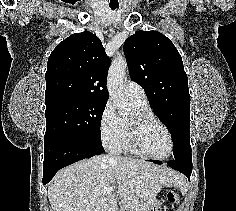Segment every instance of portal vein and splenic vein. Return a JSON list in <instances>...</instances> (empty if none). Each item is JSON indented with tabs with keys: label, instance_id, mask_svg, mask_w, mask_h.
Segmentation results:
<instances>
[{
	"label": "portal vein and splenic vein",
	"instance_id": "1",
	"mask_svg": "<svg viewBox=\"0 0 236 211\" xmlns=\"http://www.w3.org/2000/svg\"><path fill=\"white\" fill-rule=\"evenodd\" d=\"M115 188L114 187H109V188H106L103 192V195H106L108 193H110L111 191H113Z\"/></svg>",
	"mask_w": 236,
	"mask_h": 211
}]
</instances>
